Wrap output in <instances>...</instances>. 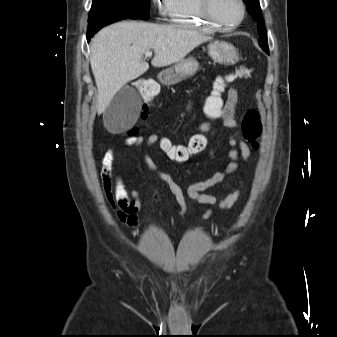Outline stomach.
<instances>
[{"label":"stomach","mask_w":337,"mask_h":337,"mask_svg":"<svg viewBox=\"0 0 337 337\" xmlns=\"http://www.w3.org/2000/svg\"><path fill=\"white\" fill-rule=\"evenodd\" d=\"M208 53L214 61L219 63L234 64L239 60L236 48L224 41L211 42L208 45ZM198 68V61L193 57H188L163 70L158 78L164 84H175L195 75Z\"/></svg>","instance_id":"0dacf381"}]
</instances>
